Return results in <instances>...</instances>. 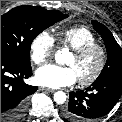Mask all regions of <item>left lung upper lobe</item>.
Returning <instances> with one entry per match:
<instances>
[{
	"mask_svg": "<svg viewBox=\"0 0 122 122\" xmlns=\"http://www.w3.org/2000/svg\"><path fill=\"white\" fill-rule=\"evenodd\" d=\"M92 25L104 40L108 55L107 63L95 82L122 79V49L106 26L97 21H92Z\"/></svg>",
	"mask_w": 122,
	"mask_h": 122,
	"instance_id": "1",
	"label": "left lung upper lobe"
}]
</instances>
